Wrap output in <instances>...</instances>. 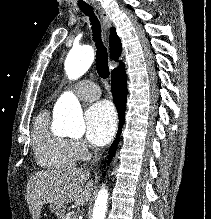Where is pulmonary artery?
I'll use <instances>...</instances> for the list:
<instances>
[{"instance_id": "e3ab8cb5", "label": "pulmonary artery", "mask_w": 211, "mask_h": 219, "mask_svg": "<svg viewBox=\"0 0 211 219\" xmlns=\"http://www.w3.org/2000/svg\"><path fill=\"white\" fill-rule=\"evenodd\" d=\"M78 97L85 101H94L101 95L100 88L91 81L82 80L74 85Z\"/></svg>"}]
</instances>
